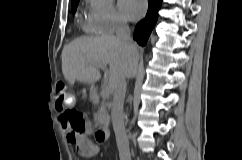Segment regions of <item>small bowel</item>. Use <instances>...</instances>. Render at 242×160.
Wrapping results in <instances>:
<instances>
[{
  "label": "small bowel",
  "instance_id": "obj_1",
  "mask_svg": "<svg viewBox=\"0 0 242 160\" xmlns=\"http://www.w3.org/2000/svg\"><path fill=\"white\" fill-rule=\"evenodd\" d=\"M62 131L65 133L66 140L69 144L76 146L78 152L82 156H91L90 152L96 146L89 140L87 133L90 132V124L86 123L85 129L82 133L72 132L69 125L60 117Z\"/></svg>",
  "mask_w": 242,
  "mask_h": 160
}]
</instances>
